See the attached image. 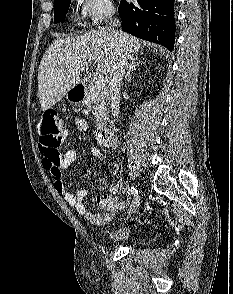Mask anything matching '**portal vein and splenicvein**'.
I'll use <instances>...</instances> for the list:
<instances>
[{
    "mask_svg": "<svg viewBox=\"0 0 233 294\" xmlns=\"http://www.w3.org/2000/svg\"><path fill=\"white\" fill-rule=\"evenodd\" d=\"M87 64V62H85ZM95 87L98 90H103L105 88V79L104 77L99 76L95 80Z\"/></svg>",
    "mask_w": 233,
    "mask_h": 294,
    "instance_id": "portal-vein-and-splenic-vein-1",
    "label": "portal vein and splenic vein"
}]
</instances>
